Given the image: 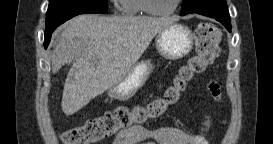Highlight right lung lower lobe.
I'll return each mask as SVG.
<instances>
[{
  "instance_id": "1",
  "label": "right lung lower lobe",
  "mask_w": 273,
  "mask_h": 144,
  "mask_svg": "<svg viewBox=\"0 0 273 144\" xmlns=\"http://www.w3.org/2000/svg\"><path fill=\"white\" fill-rule=\"evenodd\" d=\"M87 13H93L96 14V11L90 10V9H84V10H76V11H71L68 13H65L61 15L60 17L56 18L52 24L51 27L46 28L45 30V41H44V47L47 48L50 39H51V34L53 31L58 27L60 24L64 23L65 21L69 20L70 18L79 15V14H87Z\"/></svg>"
}]
</instances>
